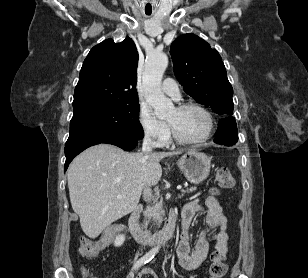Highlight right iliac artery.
Here are the masks:
<instances>
[{
	"mask_svg": "<svg viewBox=\"0 0 308 278\" xmlns=\"http://www.w3.org/2000/svg\"><path fill=\"white\" fill-rule=\"evenodd\" d=\"M158 248L151 249L148 253H146L143 257H141L133 266V268L139 269L144 264L148 263L150 260L154 258V256L157 254Z\"/></svg>",
	"mask_w": 308,
	"mask_h": 278,
	"instance_id": "right-iliac-artery-1",
	"label": "right iliac artery"
}]
</instances>
